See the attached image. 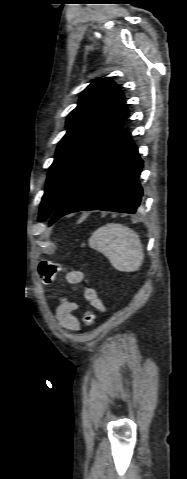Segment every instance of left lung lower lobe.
Here are the masks:
<instances>
[{
	"label": "left lung lower lobe",
	"instance_id": "0a47b994",
	"mask_svg": "<svg viewBox=\"0 0 187 479\" xmlns=\"http://www.w3.org/2000/svg\"><path fill=\"white\" fill-rule=\"evenodd\" d=\"M143 167L138 148L127 130L84 172L53 212L50 225L60 217L85 210L134 214L143 195L138 177Z\"/></svg>",
	"mask_w": 187,
	"mask_h": 479
}]
</instances>
